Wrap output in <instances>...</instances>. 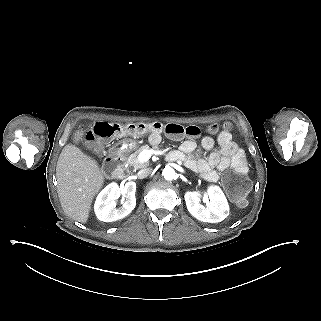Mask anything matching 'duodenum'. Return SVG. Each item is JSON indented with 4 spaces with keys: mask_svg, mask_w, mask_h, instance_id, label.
<instances>
[{
    "mask_svg": "<svg viewBox=\"0 0 321 321\" xmlns=\"http://www.w3.org/2000/svg\"><path fill=\"white\" fill-rule=\"evenodd\" d=\"M168 159L174 161L176 160V156L174 154H170ZM124 161V152L119 147H114L111 149L105 160L104 171L115 177L120 176L124 172Z\"/></svg>",
    "mask_w": 321,
    "mask_h": 321,
    "instance_id": "obj_1",
    "label": "duodenum"
}]
</instances>
